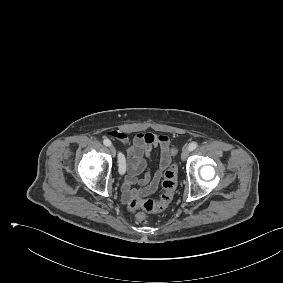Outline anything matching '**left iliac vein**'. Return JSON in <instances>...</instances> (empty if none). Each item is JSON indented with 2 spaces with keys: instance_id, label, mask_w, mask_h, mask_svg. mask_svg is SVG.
Listing matches in <instances>:
<instances>
[{
  "instance_id": "1",
  "label": "left iliac vein",
  "mask_w": 283,
  "mask_h": 283,
  "mask_svg": "<svg viewBox=\"0 0 283 283\" xmlns=\"http://www.w3.org/2000/svg\"><path fill=\"white\" fill-rule=\"evenodd\" d=\"M189 149H184L183 150V152H182V154H181V159H182V161H185L186 159H187V157H188V155H189Z\"/></svg>"
}]
</instances>
